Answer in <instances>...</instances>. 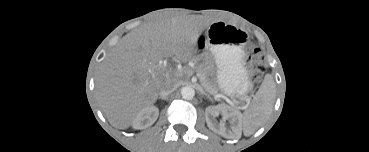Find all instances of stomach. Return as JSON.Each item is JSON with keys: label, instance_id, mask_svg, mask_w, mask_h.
<instances>
[{"label": "stomach", "instance_id": "0dacf381", "mask_svg": "<svg viewBox=\"0 0 369 152\" xmlns=\"http://www.w3.org/2000/svg\"><path fill=\"white\" fill-rule=\"evenodd\" d=\"M248 39L245 31L222 21L212 23L204 35L218 67L219 88L229 96L243 95L251 88L243 64Z\"/></svg>", "mask_w": 369, "mask_h": 152}]
</instances>
